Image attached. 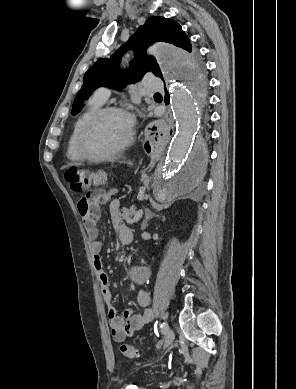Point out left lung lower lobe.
<instances>
[{"label":"left lung lower lobe","mask_w":296,"mask_h":389,"mask_svg":"<svg viewBox=\"0 0 296 389\" xmlns=\"http://www.w3.org/2000/svg\"><path fill=\"white\" fill-rule=\"evenodd\" d=\"M169 102V94L166 92V95H165V103L168 104Z\"/></svg>","instance_id":"1"}]
</instances>
